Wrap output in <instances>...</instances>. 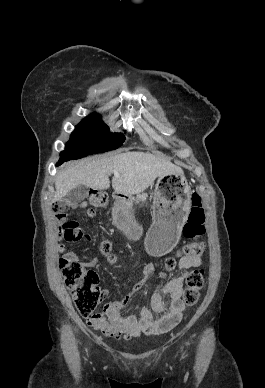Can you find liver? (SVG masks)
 I'll return each instance as SVG.
<instances>
[{"label":"liver","instance_id":"obj_1","mask_svg":"<svg viewBox=\"0 0 265 388\" xmlns=\"http://www.w3.org/2000/svg\"><path fill=\"white\" fill-rule=\"evenodd\" d=\"M114 170L119 176L112 178V188L117 194H140L147 190L158 176L183 174L179 166L171 164L164 158H158L145 152H126L117 156L103 158H85L75 166L61 170L56 176V192L52 202L62 200L73 188L83 184L93 190H108L110 180L108 174Z\"/></svg>","mask_w":265,"mask_h":388}]
</instances>
